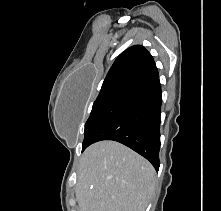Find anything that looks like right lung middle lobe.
<instances>
[{
    "label": "right lung middle lobe",
    "instance_id": "obj_1",
    "mask_svg": "<svg viewBox=\"0 0 221 211\" xmlns=\"http://www.w3.org/2000/svg\"><path fill=\"white\" fill-rule=\"evenodd\" d=\"M135 92L136 90L123 88L99 94L85 124L82 147L87 145L99 133Z\"/></svg>",
    "mask_w": 221,
    "mask_h": 211
}]
</instances>
